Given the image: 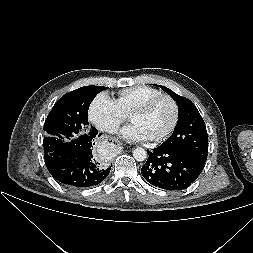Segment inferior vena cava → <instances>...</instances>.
<instances>
[{
	"label": "inferior vena cava",
	"mask_w": 253,
	"mask_h": 253,
	"mask_svg": "<svg viewBox=\"0 0 253 253\" xmlns=\"http://www.w3.org/2000/svg\"><path fill=\"white\" fill-rule=\"evenodd\" d=\"M119 130V126L118 125H111L110 127H108V132L115 134L117 133Z\"/></svg>",
	"instance_id": "obj_1"
}]
</instances>
